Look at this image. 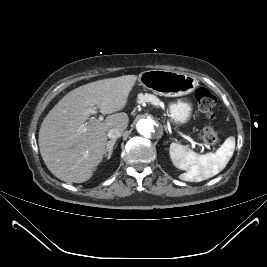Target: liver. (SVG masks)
<instances>
[{"label": "liver", "mask_w": 267, "mask_h": 267, "mask_svg": "<svg viewBox=\"0 0 267 267\" xmlns=\"http://www.w3.org/2000/svg\"><path fill=\"white\" fill-rule=\"evenodd\" d=\"M136 75L98 80L66 94L46 115L39 130V149L51 173L64 182L89 180L102 162L107 132L115 126L124 130L129 123L127 104ZM89 108L112 114L104 121L89 119ZM86 126V129L82 128Z\"/></svg>", "instance_id": "6515ba94"}]
</instances>
